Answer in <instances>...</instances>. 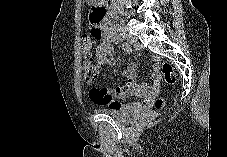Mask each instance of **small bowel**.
Returning <instances> with one entry per match:
<instances>
[{
	"instance_id": "obj_1",
	"label": "small bowel",
	"mask_w": 227,
	"mask_h": 157,
	"mask_svg": "<svg viewBox=\"0 0 227 157\" xmlns=\"http://www.w3.org/2000/svg\"><path fill=\"white\" fill-rule=\"evenodd\" d=\"M100 44L97 46L95 55L97 64L113 68L117 64L114 59L113 44L114 40L112 33L100 32ZM125 82L114 88H97L92 87L89 91V97L95 104L106 105L113 109L137 110L147 108L153 103L154 97L159 91L160 78L157 70L153 75L152 84L148 87L143 83H138L136 79V66L133 62H128L124 68ZM137 96L141 98L138 102H121L120 99Z\"/></svg>"
}]
</instances>
